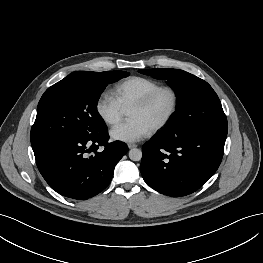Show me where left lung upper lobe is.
<instances>
[{
  "label": "left lung upper lobe",
  "instance_id": "obj_1",
  "mask_svg": "<svg viewBox=\"0 0 263 263\" xmlns=\"http://www.w3.org/2000/svg\"><path fill=\"white\" fill-rule=\"evenodd\" d=\"M139 72L167 80L177 95L176 112L163 131L186 134L227 127L221 102L204 80L179 69H143Z\"/></svg>",
  "mask_w": 263,
  "mask_h": 263
}]
</instances>
